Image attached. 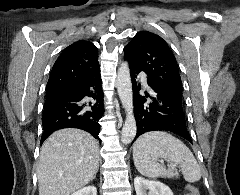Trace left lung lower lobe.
<instances>
[{"label":"left lung lower lobe","instance_id":"1","mask_svg":"<svg viewBox=\"0 0 240 195\" xmlns=\"http://www.w3.org/2000/svg\"><path fill=\"white\" fill-rule=\"evenodd\" d=\"M129 68L134 93V116L137 124L136 138L145 132L159 130L174 132L192 142L186 128L182 98L147 79L148 85L154 92V97L147 94L146 97H150L152 102L145 103L146 98L139 94L140 84H137L136 81L140 71L134 69L130 64Z\"/></svg>","mask_w":240,"mask_h":195}]
</instances>
